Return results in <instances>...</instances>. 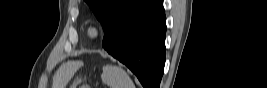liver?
<instances>
[{
  "label": "liver",
  "mask_w": 267,
  "mask_h": 88,
  "mask_svg": "<svg viewBox=\"0 0 267 88\" xmlns=\"http://www.w3.org/2000/svg\"><path fill=\"white\" fill-rule=\"evenodd\" d=\"M79 67V62L69 61L55 72L53 76V88H65L68 81L73 77Z\"/></svg>",
  "instance_id": "6515ba94"
}]
</instances>
